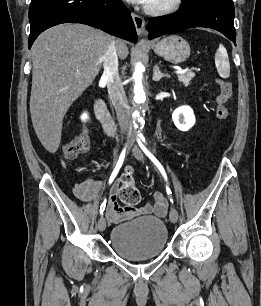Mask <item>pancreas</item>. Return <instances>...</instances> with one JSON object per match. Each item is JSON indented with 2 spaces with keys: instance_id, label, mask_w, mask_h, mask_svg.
<instances>
[{
  "instance_id": "obj_1",
  "label": "pancreas",
  "mask_w": 261,
  "mask_h": 306,
  "mask_svg": "<svg viewBox=\"0 0 261 306\" xmlns=\"http://www.w3.org/2000/svg\"><path fill=\"white\" fill-rule=\"evenodd\" d=\"M195 77V73L189 71L187 73L179 74L178 80L183 83L184 86H188L192 78Z\"/></svg>"
}]
</instances>
